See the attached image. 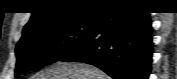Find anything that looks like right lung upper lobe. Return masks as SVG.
I'll return each instance as SVG.
<instances>
[{
	"label": "right lung upper lobe",
	"mask_w": 177,
	"mask_h": 79,
	"mask_svg": "<svg viewBox=\"0 0 177 79\" xmlns=\"http://www.w3.org/2000/svg\"><path fill=\"white\" fill-rule=\"evenodd\" d=\"M129 0H39L34 6L30 21L23 29V35L36 29L78 19H97L107 8Z\"/></svg>",
	"instance_id": "obj_1"
}]
</instances>
